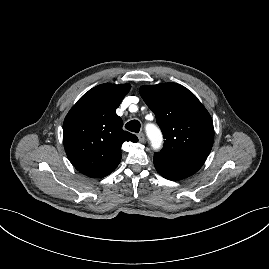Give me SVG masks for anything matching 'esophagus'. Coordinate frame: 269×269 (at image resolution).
I'll return each mask as SVG.
<instances>
[{
	"label": "esophagus",
	"mask_w": 269,
	"mask_h": 269,
	"mask_svg": "<svg viewBox=\"0 0 269 269\" xmlns=\"http://www.w3.org/2000/svg\"><path fill=\"white\" fill-rule=\"evenodd\" d=\"M138 139H139L140 142H144L145 141V135H144V133H139L138 134Z\"/></svg>",
	"instance_id": "obj_1"
}]
</instances>
